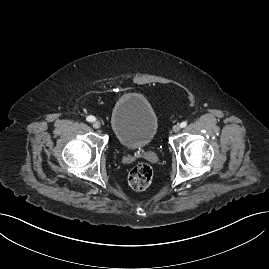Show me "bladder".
<instances>
[{
	"instance_id": "1",
	"label": "bladder",
	"mask_w": 269,
	"mask_h": 269,
	"mask_svg": "<svg viewBox=\"0 0 269 269\" xmlns=\"http://www.w3.org/2000/svg\"><path fill=\"white\" fill-rule=\"evenodd\" d=\"M110 126L121 146L140 149L152 142L159 122L153 106L145 95L127 93L115 102L110 115Z\"/></svg>"
}]
</instances>
